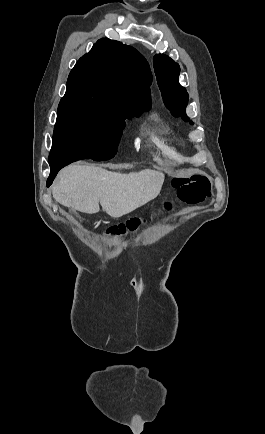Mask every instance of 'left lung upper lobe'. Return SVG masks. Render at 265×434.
Returning a JSON list of instances; mask_svg holds the SVG:
<instances>
[{"label": "left lung upper lobe", "mask_w": 265, "mask_h": 434, "mask_svg": "<svg viewBox=\"0 0 265 434\" xmlns=\"http://www.w3.org/2000/svg\"><path fill=\"white\" fill-rule=\"evenodd\" d=\"M153 66L164 103L171 114L174 117H181L184 121H190L185 112L189 95L186 89L179 84L180 67L178 63L164 54H157L154 56ZM190 124L193 122L190 121Z\"/></svg>", "instance_id": "obj_1"}]
</instances>
